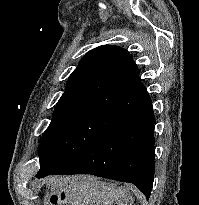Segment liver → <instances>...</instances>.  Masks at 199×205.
Here are the masks:
<instances>
[{
  "instance_id": "liver-1",
  "label": "liver",
  "mask_w": 199,
  "mask_h": 205,
  "mask_svg": "<svg viewBox=\"0 0 199 205\" xmlns=\"http://www.w3.org/2000/svg\"><path fill=\"white\" fill-rule=\"evenodd\" d=\"M51 181L54 187L65 191L66 200L61 205L132 204L126 188H117L93 176L56 177Z\"/></svg>"
}]
</instances>
